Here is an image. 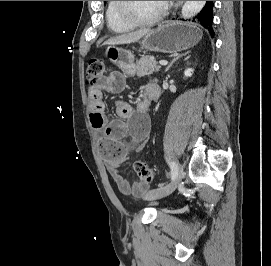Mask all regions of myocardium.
Wrapping results in <instances>:
<instances>
[{"mask_svg":"<svg viewBox=\"0 0 271 266\" xmlns=\"http://www.w3.org/2000/svg\"><path fill=\"white\" fill-rule=\"evenodd\" d=\"M117 9L119 16L132 26H148L159 22L166 14L167 6L162 2L161 10L148 19H139L134 16L128 9V1H117Z\"/></svg>","mask_w":271,"mask_h":266,"instance_id":"1","label":"myocardium"}]
</instances>
